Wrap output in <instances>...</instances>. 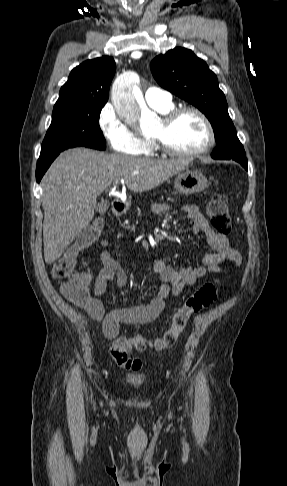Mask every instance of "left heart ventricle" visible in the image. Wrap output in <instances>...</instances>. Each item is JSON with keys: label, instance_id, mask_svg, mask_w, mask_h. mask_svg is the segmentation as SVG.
<instances>
[{"label": "left heart ventricle", "instance_id": "obj_1", "mask_svg": "<svg viewBox=\"0 0 287 486\" xmlns=\"http://www.w3.org/2000/svg\"><path fill=\"white\" fill-rule=\"evenodd\" d=\"M161 121L153 131V135L160 133ZM169 144L180 151H193L203 147L207 141V133L203 122L193 113L181 115L167 134Z\"/></svg>", "mask_w": 287, "mask_h": 486}]
</instances>
